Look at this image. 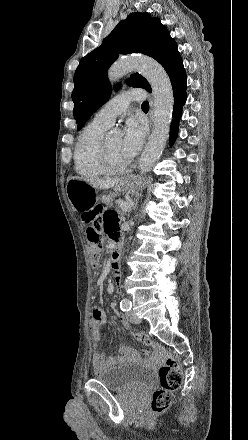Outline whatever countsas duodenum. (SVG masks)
Instances as JSON below:
<instances>
[{
  "label": "duodenum",
  "mask_w": 248,
  "mask_h": 440,
  "mask_svg": "<svg viewBox=\"0 0 248 440\" xmlns=\"http://www.w3.org/2000/svg\"><path fill=\"white\" fill-rule=\"evenodd\" d=\"M112 245H113L111 252L112 266L114 268H117V262L121 256V249H122L120 236L112 237Z\"/></svg>",
  "instance_id": "410a0bca"
}]
</instances>
